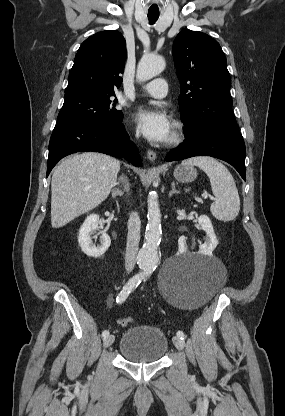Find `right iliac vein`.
Listing matches in <instances>:
<instances>
[{
  "label": "right iliac vein",
  "mask_w": 285,
  "mask_h": 416,
  "mask_svg": "<svg viewBox=\"0 0 285 416\" xmlns=\"http://www.w3.org/2000/svg\"><path fill=\"white\" fill-rule=\"evenodd\" d=\"M114 341V335H108L103 340V346L105 348L109 347Z\"/></svg>",
  "instance_id": "1"
}]
</instances>
